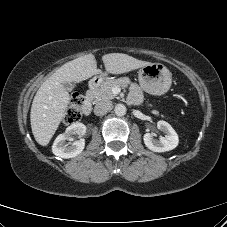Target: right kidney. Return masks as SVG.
Returning <instances> with one entry per match:
<instances>
[{"label":"right kidney","mask_w":227,"mask_h":227,"mask_svg":"<svg viewBox=\"0 0 227 227\" xmlns=\"http://www.w3.org/2000/svg\"><path fill=\"white\" fill-rule=\"evenodd\" d=\"M86 133V126L82 123H74L66 128L63 134H60L55 139L52 152L54 155L61 158H73L79 155L84 147L85 141L83 138L74 141L73 143H66V141H73V135L77 134L82 137Z\"/></svg>","instance_id":"ca27d5eb"}]
</instances>
